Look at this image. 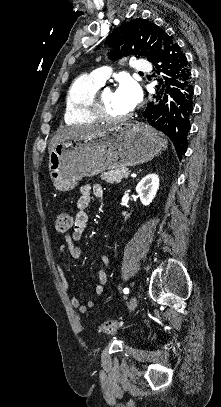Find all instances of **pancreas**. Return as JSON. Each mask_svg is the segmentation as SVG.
<instances>
[{
	"instance_id": "cf45deb5",
	"label": "pancreas",
	"mask_w": 221,
	"mask_h": 407,
	"mask_svg": "<svg viewBox=\"0 0 221 407\" xmlns=\"http://www.w3.org/2000/svg\"><path fill=\"white\" fill-rule=\"evenodd\" d=\"M128 172V169L125 167L117 168L115 170H109L101 174V179L105 180L107 183H120L123 178L127 176L125 173Z\"/></svg>"
}]
</instances>
